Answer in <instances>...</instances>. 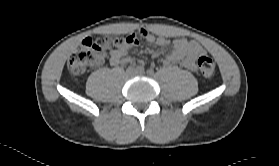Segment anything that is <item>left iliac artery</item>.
Returning <instances> with one entry per match:
<instances>
[{"label":"left iliac artery","instance_id":"left-iliac-artery-1","mask_svg":"<svg viewBox=\"0 0 279 166\" xmlns=\"http://www.w3.org/2000/svg\"><path fill=\"white\" fill-rule=\"evenodd\" d=\"M147 74L148 75H153L154 74V70L152 68L147 70Z\"/></svg>","mask_w":279,"mask_h":166}]
</instances>
